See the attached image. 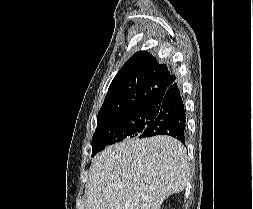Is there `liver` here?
<instances>
[{
  "label": "liver",
  "mask_w": 253,
  "mask_h": 209,
  "mask_svg": "<svg viewBox=\"0 0 253 209\" xmlns=\"http://www.w3.org/2000/svg\"><path fill=\"white\" fill-rule=\"evenodd\" d=\"M189 164L182 143L171 136L126 139L92 160L86 209H160L188 183Z\"/></svg>",
  "instance_id": "1"
}]
</instances>
